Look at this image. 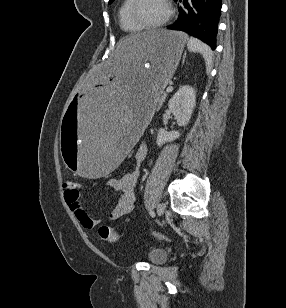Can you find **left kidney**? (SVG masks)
<instances>
[{
  "instance_id": "left-kidney-1",
  "label": "left kidney",
  "mask_w": 286,
  "mask_h": 308,
  "mask_svg": "<svg viewBox=\"0 0 286 308\" xmlns=\"http://www.w3.org/2000/svg\"><path fill=\"white\" fill-rule=\"evenodd\" d=\"M196 105V92L191 86L185 85L173 95L168 103V108L174 115L179 126H186L191 118ZM179 131H166L159 129L157 134V145L161 147L166 142L179 138Z\"/></svg>"
}]
</instances>
